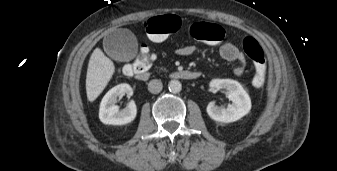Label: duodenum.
Instances as JSON below:
<instances>
[{"label": "duodenum", "mask_w": 337, "mask_h": 171, "mask_svg": "<svg viewBox=\"0 0 337 171\" xmlns=\"http://www.w3.org/2000/svg\"><path fill=\"white\" fill-rule=\"evenodd\" d=\"M138 80H147L149 78V73L147 69H139L135 68L132 73ZM201 76L200 72L197 71H189V70H181L175 71L171 74V77L174 79L181 80H195Z\"/></svg>", "instance_id": "1"}]
</instances>
